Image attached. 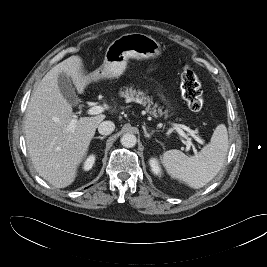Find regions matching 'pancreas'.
<instances>
[{"mask_svg": "<svg viewBox=\"0 0 267 267\" xmlns=\"http://www.w3.org/2000/svg\"><path fill=\"white\" fill-rule=\"evenodd\" d=\"M119 94L128 102L134 101L142 104L144 107H146L145 109L147 113L152 114L155 117H157L158 113L162 112V109L158 107V104H154L153 99L146 95V93L143 91L133 89L132 87H126L123 91H120Z\"/></svg>", "mask_w": 267, "mask_h": 267, "instance_id": "cf45deb5", "label": "pancreas"}]
</instances>
